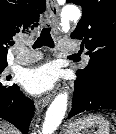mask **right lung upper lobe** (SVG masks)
Returning <instances> with one entry per match:
<instances>
[{
	"label": "right lung upper lobe",
	"mask_w": 116,
	"mask_h": 134,
	"mask_svg": "<svg viewBox=\"0 0 116 134\" xmlns=\"http://www.w3.org/2000/svg\"><path fill=\"white\" fill-rule=\"evenodd\" d=\"M44 9L45 0H0V63L7 62L10 40L29 34Z\"/></svg>",
	"instance_id": "1"
}]
</instances>
